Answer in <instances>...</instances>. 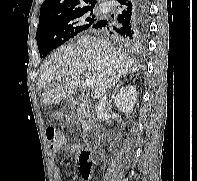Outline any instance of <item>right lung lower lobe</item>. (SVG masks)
I'll return each instance as SVG.
<instances>
[{"label":"right lung lower lobe","instance_id":"right-lung-lower-lobe-1","mask_svg":"<svg viewBox=\"0 0 197 181\" xmlns=\"http://www.w3.org/2000/svg\"><path fill=\"white\" fill-rule=\"evenodd\" d=\"M119 11L115 20L97 21L92 28L121 36L126 42L138 39L148 22V0H113Z\"/></svg>","mask_w":197,"mask_h":181}]
</instances>
